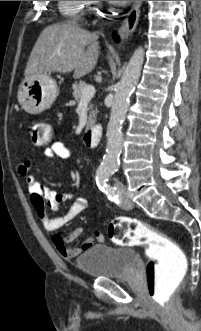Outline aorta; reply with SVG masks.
Returning a JSON list of instances; mask_svg holds the SVG:
<instances>
[{"label": "aorta", "mask_w": 201, "mask_h": 331, "mask_svg": "<svg viewBox=\"0 0 201 331\" xmlns=\"http://www.w3.org/2000/svg\"><path fill=\"white\" fill-rule=\"evenodd\" d=\"M144 60V49L137 48L131 56L122 79L117 85L110 119L107 125V147L106 154L98 169L100 178H107L119 166V156L122 151V124L129 108V97L138 83Z\"/></svg>", "instance_id": "762f6f07"}]
</instances>
